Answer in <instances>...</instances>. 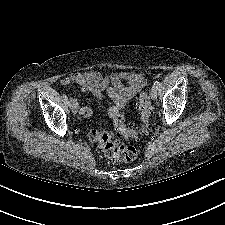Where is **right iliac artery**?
<instances>
[{"mask_svg": "<svg viewBox=\"0 0 225 225\" xmlns=\"http://www.w3.org/2000/svg\"><path fill=\"white\" fill-rule=\"evenodd\" d=\"M73 100H74V99L71 97V98H70V103H71Z\"/></svg>", "mask_w": 225, "mask_h": 225, "instance_id": "82829eb1", "label": "right iliac artery"}]
</instances>
